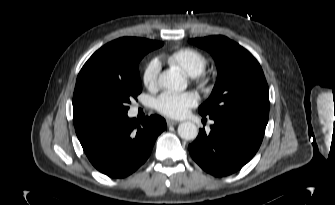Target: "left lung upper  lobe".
<instances>
[{
    "label": "left lung upper lobe",
    "mask_w": 335,
    "mask_h": 205,
    "mask_svg": "<svg viewBox=\"0 0 335 205\" xmlns=\"http://www.w3.org/2000/svg\"><path fill=\"white\" fill-rule=\"evenodd\" d=\"M190 43L213 56L218 77L202 116L234 115L267 125L269 89L262 68L245 48L225 36L194 38Z\"/></svg>",
    "instance_id": "left-lung-upper-lobe-1"
}]
</instances>
